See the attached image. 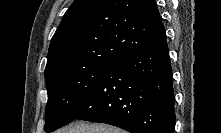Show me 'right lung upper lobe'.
Returning a JSON list of instances; mask_svg holds the SVG:
<instances>
[{"mask_svg": "<svg viewBox=\"0 0 221 133\" xmlns=\"http://www.w3.org/2000/svg\"><path fill=\"white\" fill-rule=\"evenodd\" d=\"M165 40L154 0H75L52 37L45 76L70 66L112 64Z\"/></svg>", "mask_w": 221, "mask_h": 133, "instance_id": "right-lung-upper-lobe-1", "label": "right lung upper lobe"}]
</instances>
